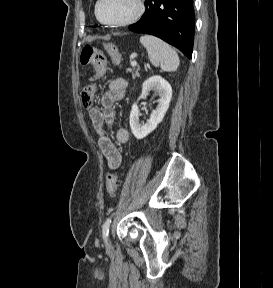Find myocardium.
Wrapping results in <instances>:
<instances>
[{"label":"myocardium","mask_w":273,"mask_h":288,"mask_svg":"<svg viewBox=\"0 0 273 288\" xmlns=\"http://www.w3.org/2000/svg\"><path fill=\"white\" fill-rule=\"evenodd\" d=\"M102 2L103 0H97L96 6H95V15L100 23L108 27H120V26H126L129 24H132L136 22L137 20H139L143 16L146 10L145 0H136L137 9L130 17L123 19V20H119V21L107 22L103 20L100 16V6Z\"/></svg>","instance_id":"obj_1"}]
</instances>
